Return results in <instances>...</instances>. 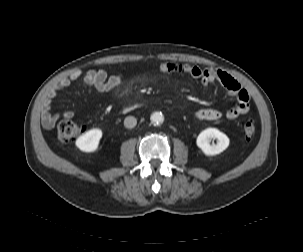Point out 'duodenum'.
Segmentation results:
<instances>
[{"label":"duodenum","mask_w":303,"mask_h":252,"mask_svg":"<svg viewBox=\"0 0 303 252\" xmlns=\"http://www.w3.org/2000/svg\"><path fill=\"white\" fill-rule=\"evenodd\" d=\"M136 106H138V103H133V104H130V105H126V106L122 107L120 111H121V113H127L130 110H132L133 108H135Z\"/></svg>","instance_id":"obj_1"}]
</instances>
